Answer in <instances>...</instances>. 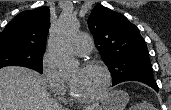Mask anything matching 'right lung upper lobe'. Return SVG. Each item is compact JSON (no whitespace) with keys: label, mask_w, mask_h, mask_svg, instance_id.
<instances>
[{"label":"right lung upper lobe","mask_w":171,"mask_h":110,"mask_svg":"<svg viewBox=\"0 0 171 110\" xmlns=\"http://www.w3.org/2000/svg\"><path fill=\"white\" fill-rule=\"evenodd\" d=\"M49 16L50 10L47 7L19 13L0 33V43H14L45 52Z\"/></svg>","instance_id":"obj_1"}]
</instances>
